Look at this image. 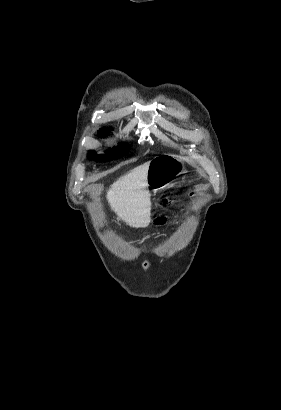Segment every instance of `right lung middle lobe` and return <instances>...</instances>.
Listing matches in <instances>:
<instances>
[{"label":"right lung middle lobe","mask_w":281,"mask_h":410,"mask_svg":"<svg viewBox=\"0 0 281 410\" xmlns=\"http://www.w3.org/2000/svg\"><path fill=\"white\" fill-rule=\"evenodd\" d=\"M110 130L111 129H106V128L99 130V137H106ZM126 151H127V146L121 145L117 149L113 148V149L108 150L105 156L97 155L94 152H91L92 155H89V157L94 158L97 161H109L111 159H117L119 157H122Z\"/></svg>","instance_id":"right-lung-middle-lobe-1"}]
</instances>
